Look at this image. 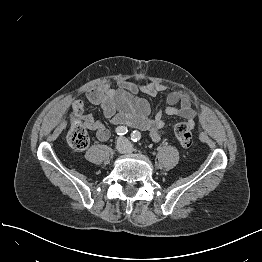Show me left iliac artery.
Returning <instances> with one entry per match:
<instances>
[{
	"label": "left iliac artery",
	"mask_w": 262,
	"mask_h": 262,
	"mask_svg": "<svg viewBox=\"0 0 262 262\" xmlns=\"http://www.w3.org/2000/svg\"><path fill=\"white\" fill-rule=\"evenodd\" d=\"M141 139V133L139 131H133L131 133V140L133 142H139Z\"/></svg>",
	"instance_id": "obj_1"
}]
</instances>
